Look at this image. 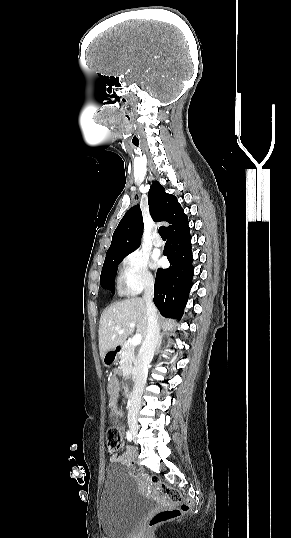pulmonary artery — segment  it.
I'll return each instance as SVG.
<instances>
[{
	"instance_id": "pulmonary-artery-1",
	"label": "pulmonary artery",
	"mask_w": 291,
	"mask_h": 538,
	"mask_svg": "<svg viewBox=\"0 0 291 538\" xmlns=\"http://www.w3.org/2000/svg\"><path fill=\"white\" fill-rule=\"evenodd\" d=\"M152 243L155 247H161L163 245V241L159 237H156Z\"/></svg>"
}]
</instances>
